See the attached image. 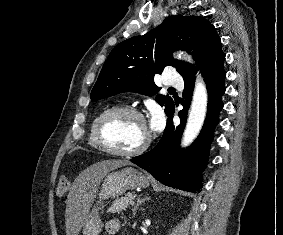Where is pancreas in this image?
<instances>
[{"label":"pancreas","instance_id":"pancreas-1","mask_svg":"<svg viewBox=\"0 0 283 235\" xmlns=\"http://www.w3.org/2000/svg\"><path fill=\"white\" fill-rule=\"evenodd\" d=\"M133 199L134 195L132 193L125 194L124 197H121L112 203L108 209V212L115 213L125 210Z\"/></svg>","mask_w":283,"mask_h":235}]
</instances>
